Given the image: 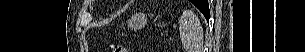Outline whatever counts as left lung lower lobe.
Instances as JSON below:
<instances>
[{"label": "left lung lower lobe", "mask_w": 305, "mask_h": 52, "mask_svg": "<svg viewBox=\"0 0 305 52\" xmlns=\"http://www.w3.org/2000/svg\"><path fill=\"white\" fill-rule=\"evenodd\" d=\"M204 1V7L202 8H198L202 13L203 15L205 16V18L207 20H209V5H208V0H203Z\"/></svg>", "instance_id": "left-lung-lower-lobe-1"}]
</instances>
